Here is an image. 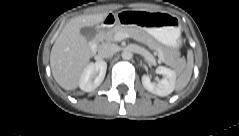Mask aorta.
<instances>
[{"mask_svg": "<svg viewBox=\"0 0 239 136\" xmlns=\"http://www.w3.org/2000/svg\"><path fill=\"white\" fill-rule=\"evenodd\" d=\"M122 58L125 60H130L132 58V53L129 50H124L122 52Z\"/></svg>", "mask_w": 239, "mask_h": 136, "instance_id": "1", "label": "aorta"}]
</instances>
